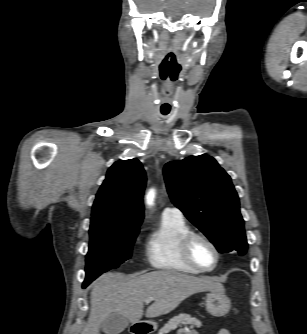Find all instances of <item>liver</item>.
I'll return each mask as SVG.
<instances>
[{"label":"liver","instance_id":"obj_1","mask_svg":"<svg viewBox=\"0 0 307 334\" xmlns=\"http://www.w3.org/2000/svg\"><path fill=\"white\" fill-rule=\"evenodd\" d=\"M221 283L208 277H195L176 271H153L126 276L107 272L94 281L90 294V315L81 334H99L102 322L112 313H118L131 323L143 316L144 302L153 298L146 317H158L174 310L190 295L221 290Z\"/></svg>","mask_w":307,"mask_h":334}]
</instances>
